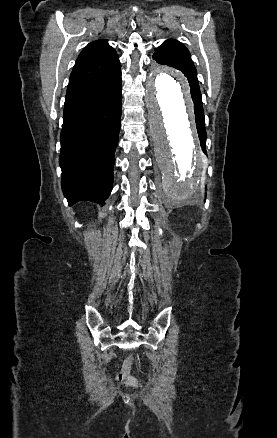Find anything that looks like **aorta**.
Masks as SVG:
<instances>
[{
  "mask_svg": "<svg viewBox=\"0 0 277 438\" xmlns=\"http://www.w3.org/2000/svg\"><path fill=\"white\" fill-rule=\"evenodd\" d=\"M146 92L164 193L171 200L187 199L199 188L207 166L188 85L180 73L154 66Z\"/></svg>",
  "mask_w": 277,
  "mask_h": 438,
  "instance_id": "1",
  "label": "aorta"
}]
</instances>
